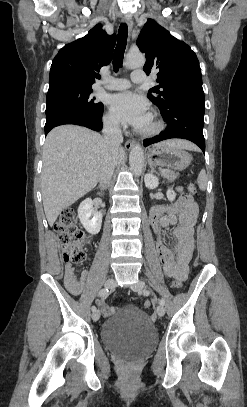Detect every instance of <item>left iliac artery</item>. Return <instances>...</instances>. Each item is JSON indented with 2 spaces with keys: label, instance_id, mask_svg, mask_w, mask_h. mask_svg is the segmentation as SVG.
<instances>
[{
  "label": "left iliac artery",
  "instance_id": "44dca946",
  "mask_svg": "<svg viewBox=\"0 0 247 407\" xmlns=\"http://www.w3.org/2000/svg\"><path fill=\"white\" fill-rule=\"evenodd\" d=\"M143 293H144V295H149V294H150V291L147 290V289H145V290H143ZM159 304H160L161 306H164V305H165V300L162 298V299L159 301Z\"/></svg>",
  "mask_w": 247,
  "mask_h": 407
}]
</instances>
